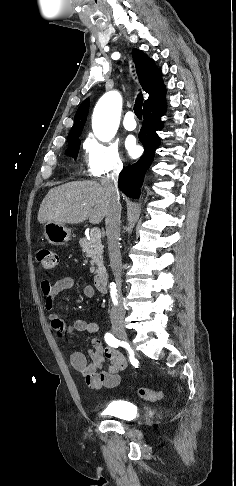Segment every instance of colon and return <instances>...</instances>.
<instances>
[{
	"label": "colon",
	"mask_w": 236,
	"mask_h": 486,
	"mask_svg": "<svg viewBox=\"0 0 236 486\" xmlns=\"http://www.w3.org/2000/svg\"><path fill=\"white\" fill-rule=\"evenodd\" d=\"M37 260L41 264L42 268L46 271L54 270L59 263L57 254L48 248L40 249L37 253ZM138 394L142 399L156 402L162 399L163 394L161 391L152 390L146 387H140Z\"/></svg>",
	"instance_id": "obj_1"
}]
</instances>
